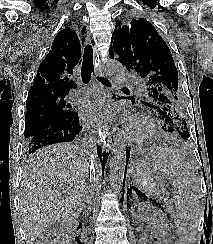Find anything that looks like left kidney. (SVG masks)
Here are the masks:
<instances>
[{
  "label": "left kidney",
  "instance_id": "left-kidney-1",
  "mask_svg": "<svg viewBox=\"0 0 213 244\" xmlns=\"http://www.w3.org/2000/svg\"><path fill=\"white\" fill-rule=\"evenodd\" d=\"M133 219L136 223L150 220L153 224L151 236L157 240L156 244H171L167 226L163 217L158 211L148 203H136L132 211Z\"/></svg>",
  "mask_w": 213,
  "mask_h": 244
}]
</instances>
